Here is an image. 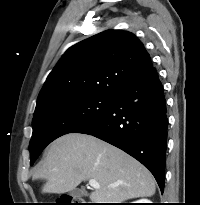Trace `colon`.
I'll list each match as a JSON object with an SVG mask.
<instances>
[{
	"label": "colon",
	"mask_w": 200,
	"mask_h": 205,
	"mask_svg": "<svg viewBox=\"0 0 200 205\" xmlns=\"http://www.w3.org/2000/svg\"><path fill=\"white\" fill-rule=\"evenodd\" d=\"M53 205H85V204L83 203V200L81 198L65 195L61 197V199Z\"/></svg>",
	"instance_id": "5ec220e1"
}]
</instances>
